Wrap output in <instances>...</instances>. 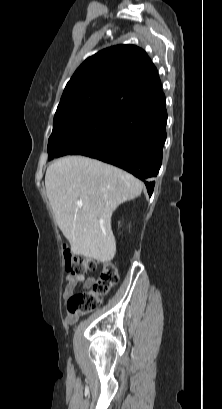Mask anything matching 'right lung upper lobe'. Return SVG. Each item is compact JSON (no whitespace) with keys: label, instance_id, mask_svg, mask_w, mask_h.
<instances>
[{"label":"right lung upper lobe","instance_id":"obj_1","mask_svg":"<svg viewBox=\"0 0 222 409\" xmlns=\"http://www.w3.org/2000/svg\"><path fill=\"white\" fill-rule=\"evenodd\" d=\"M161 95L157 69L148 55L134 45H117L80 65L67 83L57 111L105 102L123 106Z\"/></svg>","mask_w":222,"mask_h":409}]
</instances>
